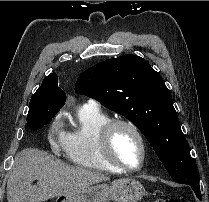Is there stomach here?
I'll use <instances>...</instances> for the list:
<instances>
[{
    "instance_id": "stomach-1",
    "label": "stomach",
    "mask_w": 209,
    "mask_h": 202,
    "mask_svg": "<svg viewBox=\"0 0 209 202\" xmlns=\"http://www.w3.org/2000/svg\"><path fill=\"white\" fill-rule=\"evenodd\" d=\"M145 194L143 185L131 178H123L111 184H96L79 191L57 197L55 202H138Z\"/></svg>"
}]
</instances>
